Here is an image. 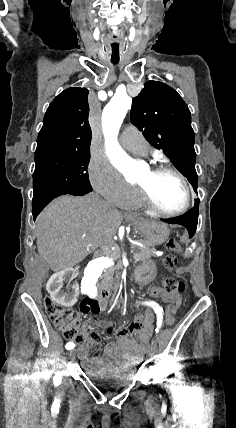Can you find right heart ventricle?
Segmentation results:
<instances>
[{"mask_svg":"<svg viewBox=\"0 0 236 428\" xmlns=\"http://www.w3.org/2000/svg\"><path fill=\"white\" fill-rule=\"evenodd\" d=\"M125 207L128 208H146L147 206L142 202L139 192L134 189L131 199L126 203Z\"/></svg>","mask_w":236,"mask_h":428,"instance_id":"obj_1","label":"right heart ventricle"}]
</instances>
